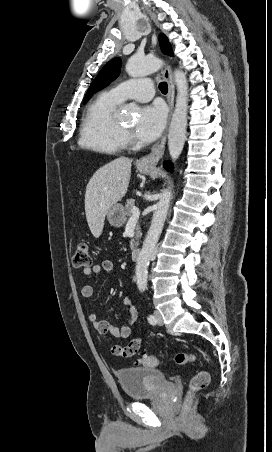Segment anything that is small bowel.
I'll list each match as a JSON object with an SVG mask.
<instances>
[{
	"instance_id": "small-bowel-1",
	"label": "small bowel",
	"mask_w": 272,
	"mask_h": 452,
	"mask_svg": "<svg viewBox=\"0 0 272 452\" xmlns=\"http://www.w3.org/2000/svg\"><path fill=\"white\" fill-rule=\"evenodd\" d=\"M114 269V264L111 260L105 259L100 261L97 264L92 265L91 267H86L83 270L85 276L97 275L101 272L110 273ZM81 294L84 298H91L94 295V286L92 284L86 283L81 287ZM123 304L127 307L129 311V318L127 322L121 327H116L112 325L109 321L100 319L98 314L91 313L89 315V320L93 325V328L100 336L110 335L117 339H129L132 335V327L138 320V312L137 309L129 296H125L123 298ZM138 341L139 349L141 346V338H134L131 341ZM130 341V342H131ZM115 347H120L119 345H115L112 347L111 352L116 356H122L117 354L114 351ZM124 357V356H123Z\"/></svg>"
}]
</instances>
